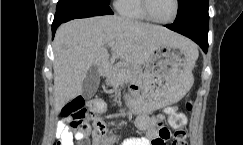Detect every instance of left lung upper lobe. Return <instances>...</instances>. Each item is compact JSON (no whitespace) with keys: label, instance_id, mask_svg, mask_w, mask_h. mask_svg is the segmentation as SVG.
<instances>
[{"label":"left lung upper lobe","instance_id":"1","mask_svg":"<svg viewBox=\"0 0 243 145\" xmlns=\"http://www.w3.org/2000/svg\"><path fill=\"white\" fill-rule=\"evenodd\" d=\"M183 20L199 25L208 35V0H178V13Z\"/></svg>","mask_w":243,"mask_h":145}]
</instances>
